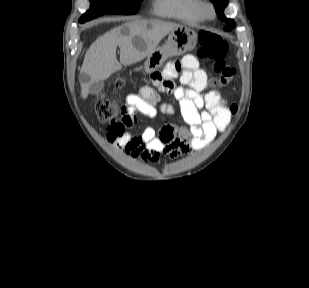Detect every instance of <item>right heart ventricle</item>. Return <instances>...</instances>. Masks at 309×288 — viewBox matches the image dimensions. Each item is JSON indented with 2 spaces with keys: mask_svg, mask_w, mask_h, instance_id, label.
Listing matches in <instances>:
<instances>
[{
  "mask_svg": "<svg viewBox=\"0 0 309 288\" xmlns=\"http://www.w3.org/2000/svg\"><path fill=\"white\" fill-rule=\"evenodd\" d=\"M153 12L161 17L190 23L204 19L200 13V0H154Z\"/></svg>",
  "mask_w": 309,
  "mask_h": 288,
  "instance_id": "obj_1",
  "label": "right heart ventricle"
}]
</instances>
